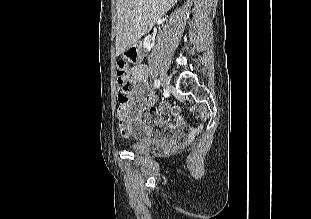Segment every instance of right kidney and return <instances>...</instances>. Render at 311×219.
Here are the masks:
<instances>
[{
	"label": "right kidney",
	"instance_id": "ca27d5eb",
	"mask_svg": "<svg viewBox=\"0 0 311 219\" xmlns=\"http://www.w3.org/2000/svg\"><path fill=\"white\" fill-rule=\"evenodd\" d=\"M143 47H144V50L147 52V51H150L153 47V43H152V40H151V37L150 36H146L144 38V41H143Z\"/></svg>",
	"mask_w": 311,
	"mask_h": 219
}]
</instances>
